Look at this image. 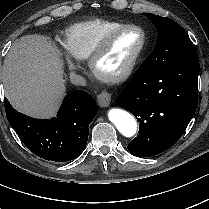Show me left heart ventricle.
<instances>
[{
  "label": "left heart ventricle",
  "instance_id": "left-heart-ventricle-1",
  "mask_svg": "<svg viewBox=\"0 0 209 209\" xmlns=\"http://www.w3.org/2000/svg\"><path fill=\"white\" fill-rule=\"evenodd\" d=\"M141 41V33L136 30H128L117 34L105 56L98 64L100 71L111 74L123 69L139 48Z\"/></svg>",
  "mask_w": 209,
  "mask_h": 209
}]
</instances>
